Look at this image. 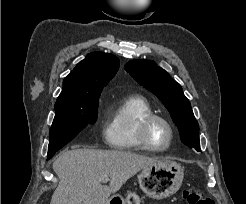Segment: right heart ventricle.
Masks as SVG:
<instances>
[{
    "label": "right heart ventricle",
    "mask_w": 246,
    "mask_h": 204,
    "mask_svg": "<svg viewBox=\"0 0 246 204\" xmlns=\"http://www.w3.org/2000/svg\"><path fill=\"white\" fill-rule=\"evenodd\" d=\"M152 113V105L140 95H129L114 103L108 110L104 125L106 144L116 150H142L137 137L139 125Z\"/></svg>",
    "instance_id": "right-heart-ventricle-1"
}]
</instances>
